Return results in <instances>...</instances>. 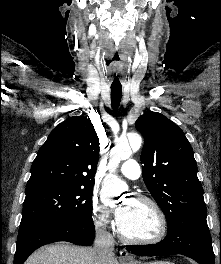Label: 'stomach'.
I'll use <instances>...</instances> for the list:
<instances>
[{"mask_svg": "<svg viewBox=\"0 0 221 264\" xmlns=\"http://www.w3.org/2000/svg\"><path fill=\"white\" fill-rule=\"evenodd\" d=\"M135 264H142V263H135ZM144 264H173V263L168 262V261H155V262H147Z\"/></svg>", "mask_w": 221, "mask_h": 264, "instance_id": "stomach-1", "label": "stomach"}]
</instances>
